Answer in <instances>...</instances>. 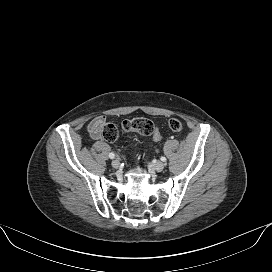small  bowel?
I'll use <instances>...</instances> for the list:
<instances>
[{"instance_id": "1", "label": "small bowel", "mask_w": 272, "mask_h": 272, "mask_svg": "<svg viewBox=\"0 0 272 272\" xmlns=\"http://www.w3.org/2000/svg\"><path fill=\"white\" fill-rule=\"evenodd\" d=\"M105 123L106 119L104 116H96L89 122L87 129L93 140L102 139V130Z\"/></svg>"}]
</instances>
